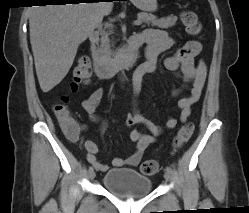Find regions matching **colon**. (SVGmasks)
Returning <instances> with one entry per match:
<instances>
[{"label":"colon","mask_w":249,"mask_h":213,"mask_svg":"<svg viewBox=\"0 0 249 213\" xmlns=\"http://www.w3.org/2000/svg\"><path fill=\"white\" fill-rule=\"evenodd\" d=\"M181 21L186 28V31L191 35L199 34L201 30L200 23L196 14L192 11L185 10L181 13ZM74 79L71 83V90L78 91L82 86L89 82L91 77V68L86 58H80L73 71ZM69 102L68 96H62L60 103L53 106V110L58 120H70V112L67 107ZM194 131V125L187 123L183 125L177 132L174 138L175 147H180L185 144ZM141 172L144 175H154L158 171V163L154 160H146L141 164Z\"/></svg>","instance_id":"obj_1"}]
</instances>
